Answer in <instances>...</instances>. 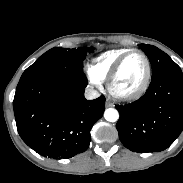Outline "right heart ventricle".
Masks as SVG:
<instances>
[{"instance_id":"right-heart-ventricle-1","label":"right heart ventricle","mask_w":183,"mask_h":183,"mask_svg":"<svg viewBox=\"0 0 183 183\" xmlns=\"http://www.w3.org/2000/svg\"><path fill=\"white\" fill-rule=\"evenodd\" d=\"M128 49H112L105 51L95 57L90 66V72L98 80H105L109 71L115 62L126 52Z\"/></svg>"}]
</instances>
